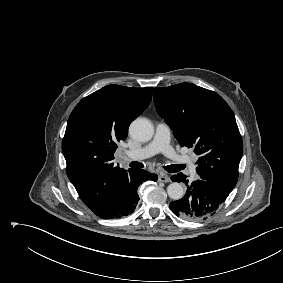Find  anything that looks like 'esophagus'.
<instances>
[{
	"mask_svg": "<svg viewBox=\"0 0 283 283\" xmlns=\"http://www.w3.org/2000/svg\"><path fill=\"white\" fill-rule=\"evenodd\" d=\"M159 181L165 182V183H169V182H171V179H170V177L167 174L161 173L159 175Z\"/></svg>",
	"mask_w": 283,
	"mask_h": 283,
	"instance_id": "obj_1",
	"label": "esophagus"
}]
</instances>
